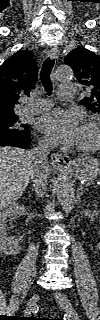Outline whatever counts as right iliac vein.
I'll use <instances>...</instances> for the list:
<instances>
[{
	"label": "right iliac vein",
	"instance_id": "right-iliac-vein-1",
	"mask_svg": "<svg viewBox=\"0 0 100 320\" xmlns=\"http://www.w3.org/2000/svg\"><path fill=\"white\" fill-rule=\"evenodd\" d=\"M39 300V294L35 293L27 302L26 309H25V315H30L34 309L36 308L37 302Z\"/></svg>",
	"mask_w": 100,
	"mask_h": 320
}]
</instances>
